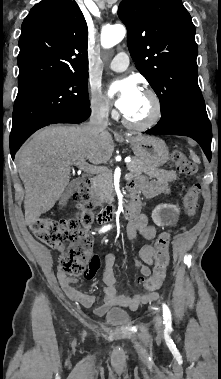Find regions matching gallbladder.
Wrapping results in <instances>:
<instances>
[{
    "label": "gallbladder",
    "mask_w": 221,
    "mask_h": 379,
    "mask_svg": "<svg viewBox=\"0 0 221 379\" xmlns=\"http://www.w3.org/2000/svg\"><path fill=\"white\" fill-rule=\"evenodd\" d=\"M77 188L76 182L72 181L68 184V186L65 188L64 192L62 193L60 197V204L64 205L67 200L70 198L71 194L74 192V190Z\"/></svg>",
    "instance_id": "gallbladder-1"
}]
</instances>
